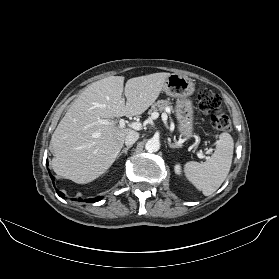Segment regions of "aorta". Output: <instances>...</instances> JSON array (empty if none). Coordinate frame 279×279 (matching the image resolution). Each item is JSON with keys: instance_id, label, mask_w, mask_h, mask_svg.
<instances>
[{"instance_id": "1", "label": "aorta", "mask_w": 279, "mask_h": 279, "mask_svg": "<svg viewBox=\"0 0 279 279\" xmlns=\"http://www.w3.org/2000/svg\"><path fill=\"white\" fill-rule=\"evenodd\" d=\"M145 149L150 152L154 153L160 149V142L157 139L151 138L145 144Z\"/></svg>"}]
</instances>
